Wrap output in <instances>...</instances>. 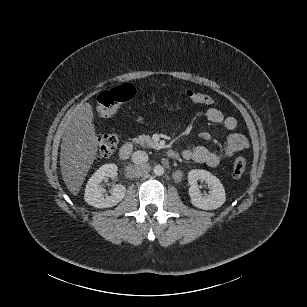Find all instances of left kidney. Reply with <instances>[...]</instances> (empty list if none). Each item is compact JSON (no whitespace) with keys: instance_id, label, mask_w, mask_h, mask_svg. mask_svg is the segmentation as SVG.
Instances as JSON below:
<instances>
[{"instance_id":"1","label":"left kidney","mask_w":307,"mask_h":307,"mask_svg":"<svg viewBox=\"0 0 307 307\" xmlns=\"http://www.w3.org/2000/svg\"><path fill=\"white\" fill-rule=\"evenodd\" d=\"M198 181L205 182L210 189V193L203 196ZM188 182L190 184L189 195L191 203L203 210H214L221 207L225 200V190L220 180L206 170L194 169L188 173Z\"/></svg>"}]
</instances>
